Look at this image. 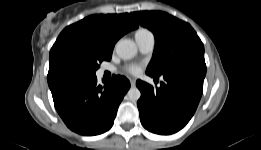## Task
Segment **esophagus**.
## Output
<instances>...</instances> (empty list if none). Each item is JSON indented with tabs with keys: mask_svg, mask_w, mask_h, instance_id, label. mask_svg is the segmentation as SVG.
<instances>
[{
	"mask_svg": "<svg viewBox=\"0 0 261 150\" xmlns=\"http://www.w3.org/2000/svg\"><path fill=\"white\" fill-rule=\"evenodd\" d=\"M130 84H131L132 87H135L136 80L134 78H130Z\"/></svg>",
	"mask_w": 261,
	"mask_h": 150,
	"instance_id": "1",
	"label": "esophagus"
}]
</instances>
